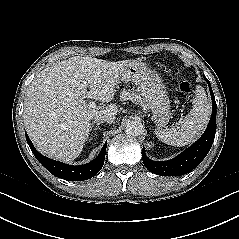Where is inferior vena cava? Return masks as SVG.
I'll use <instances>...</instances> for the list:
<instances>
[{
    "instance_id": "obj_1",
    "label": "inferior vena cava",
    "mask_w": 239,
    "mask_h": 239,
    "mask_svg": "<svg viewBox=\"0 0 239 239\" xmlns=\"http://www.w3.org/2000/svg\"><path fill=\"white\" fill-rule=\"evenodd\" d=\"M95 121H100V122H107L108 124H113L115 123V117L110 115V114H106V115H96L92 118Z\"/></svg>"
}]
</instances>
